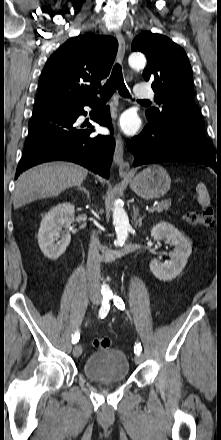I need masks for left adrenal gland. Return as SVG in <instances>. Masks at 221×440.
I'll return each mask as SVG.
<instances>
[{
    "label": "left adrenal gland",
    "instance_id": "1",
    "mask_svg": "<svg viewBox=\"0 0 221 440\" xmlns=\"http://www.w3.org/2000/svg\"><path fill=\"white\" fill-rule=\"evenodd\" d=\"M138 216H139V209L137 207L136 210L134 211V221H135V224L138 225V227H141L142 226V219L144 216H142V217L139 216V218H138Z\"/></svg>",
    "mask_w": 221,
    "mask_h": 440
}]
</instances>
